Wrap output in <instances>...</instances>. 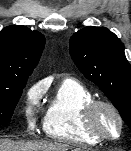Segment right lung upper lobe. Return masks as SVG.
<instances>
[{
	"label": "right lung upper lobe",
	"instance_id": "right-lung-upper-lobe-1",
	"mask_svg": "<svg viewBox=\"0 0 131 151\" xmlns=\"http://www.w3.org/2000/svg\"><path fill=\"white\" fill-rule=\"evenodd\" d=\"M45 37L25 26L0 32V81H27L44 49Z\"/></svg>",
	"mask_w": 131,
	"mask_h": 151
}]
</instances>
